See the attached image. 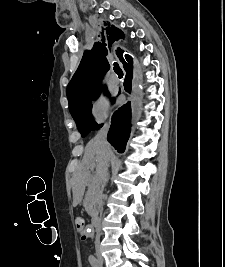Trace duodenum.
I'll use <instances>...</instances> for the list:
<instances>
[{"label":"duodenum","instance_id":"obj_1","mask_svg":"<svg viewBox=\"0 0 225 267\" xmlns=\"http://www.w3.org/2000/svg\"><path fill=\"white\" fill-rule=\"evenodd\" d=\"M91 223L94 228L98 227L100 223V219L98 214L96 213L95 206H92V212H91Z\"/></svg>","mask_w":225,"mask_h":267}]
</instances>
